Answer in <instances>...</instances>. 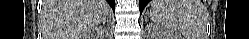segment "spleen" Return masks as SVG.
<instances>
[{"label":"spleen","instance_id":"spleen-1","mask_svg":"<svg viewBox=\"0 0 249 39\" xmlns=\"http://www.w3.org/2000/svg\"><path fill=\"white\" fill-rule=\"evenodd\" d=\"M150 16L172 39H205L208 12L200 0H152Z\"/></svg>","mask_w":249,"mask_h":39}]
</instances>
